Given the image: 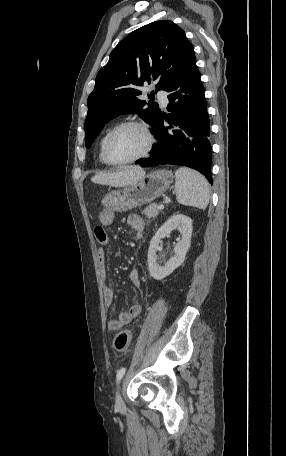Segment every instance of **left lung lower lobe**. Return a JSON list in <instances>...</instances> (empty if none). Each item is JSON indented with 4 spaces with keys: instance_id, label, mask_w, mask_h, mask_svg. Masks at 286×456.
I'll return each instance as SVG.
<instances>
[{
    "instance_id": "1",
    "label": "left lung lower lobe",
    "mask_w": 286,
    "mask_h": 456,
    "mask_svg": "<svg viewBox=\"0 0 286 456\" xmlns=\"http://www.w3.org/2000/svg\"><path fill=\"white\" fill-rule=\"evenodd\" d=\"M171 113L161 114L152 134L158 144L152 148L151 157L139 162L141 167L155 164H175L193 168L202 173L212 184L210 125L201 75L196 59L167 86ZM169 123L165 127L163 121Z\"/></svg>"
}]
</instances>
